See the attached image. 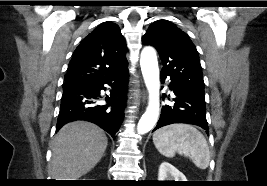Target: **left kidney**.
Returning a JSON list of instances; mask_svg holds the SVG:
<instances>
[{
  "label": "left kidney",
  "mask_w": 267,
  "mask_h": 186,
  "mask_svg": "<svg viewBox=\"0 0 267 186\" xmlns=\"http://www.w3.org/2000/svg\"><path fill=\"white\" fill-rule=\"evenodd\" d=\"M158 181H186V177L168 162L161 163Z\"/></svg>",
  "instance_id": "left-kidney-1"
}]
</instances>
